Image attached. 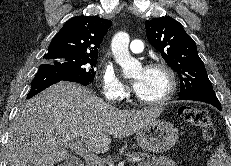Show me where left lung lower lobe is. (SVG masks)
Wrapping results in <instances>:
<instances>
[{"label":"left lung lower lobe","instance_id":"obj_1","mask_svg":"<svg viewBox=\"0 0 231 166\" xmlns=\"http://www.w3.org/2000/svg\"><path fill=\"white\" fill-rule=\"evenodd\" d=\"M178 100H193L201 101L215 106L217 109L222 111L221 104L216 97L215 93H189L183 96H180Z\"/></svg>","mask_w":231,"mask_h":166}]
</instances>
